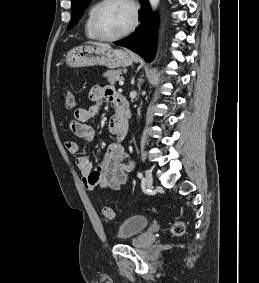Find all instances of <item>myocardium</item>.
Segmentation results:
<instances>
[{"label":"myocardium","mask_w":259,"mask_h":283,"mask_svg":"<svg viewBox=\"0 0 259 283\" xmlns=\"http://www.w3.org/2000/svg\"><path fill=\"white\" fill-rule=\"evenodd\" d=\"M112 1L114 0H101L98 3V5L95 7L93 14H92V19H91L92 31L94 35L96 36V38L102 41L112 42V41L122 39L126 37L127 35H129L131 32H133L138 25V8L136 4L133 2V0H123L125 3H127L131 7V10H132V21L130 25L123 32L115 36L103 35L100 32L99 27H98V16L102 8Z\"/></svg>","instance_id":"f54148a6"}]
</instances>
